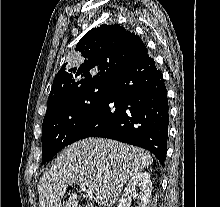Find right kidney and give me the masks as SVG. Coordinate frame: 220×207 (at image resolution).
<instances>
[{"label":"right kidney","instance_id":"right-kidney-1","mask_svg":"<svg viewBox=\"0 0 220 207\" xmlns=\"http://www.w3.org/2000/svg\"><path fill=\"white\" fill-rule=\"evenodd\" d=\"M139 188V194L136 189ZM152 192V182L150 174L139 172L135 174L128 182L120 200L118 207H130L131 197H137V207H149Z\"/></svg>","mask_w":220,"mask_h":207}]
</instances>
